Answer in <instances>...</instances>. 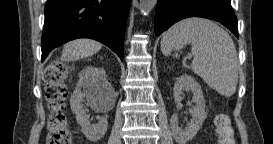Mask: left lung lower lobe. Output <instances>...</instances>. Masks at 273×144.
I'll list each match as a JSON object with an SVG mask.
<instances>
[{
  "label": "left lung lower lobe",
  "instance_id": "left-lung-lower-lobe-1",
  "mask_svg": "<svg viewBox=\"0 0 273 144\" xmlns=\"http://www.w3.org/2000/svg\"><path fill=\"white\" fill-rule=\"evenodd\" d=\"M193 16L216 20L239 38L231 0H158L155 35L159 36L174 23Z\"/></svg>",
  "mask_w": 273,
  "mask_h": 144
}]
</instances>
